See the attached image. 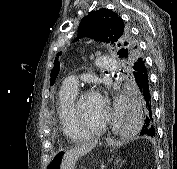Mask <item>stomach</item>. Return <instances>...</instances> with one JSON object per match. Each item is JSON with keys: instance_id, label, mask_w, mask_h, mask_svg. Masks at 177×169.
<instances>
[{"instance_id": "stomach-1", "label": "stomach", "mask_w": 177, "mask_h": 169, "mask_svg": "<svg viewBox=\"0 0 177 169\" xmlns=\"http://www.w3.org/2000/svg\"><path fill=\"white\" fill-rule=\"evenodd\" d=\"M63 153L55 154L48 164V169H61Z\"/></svg>"}]
</instances>
